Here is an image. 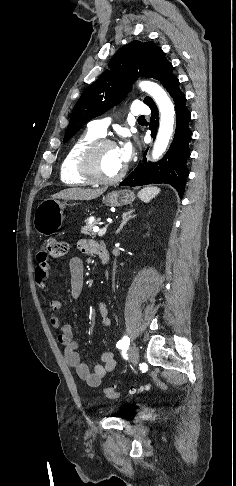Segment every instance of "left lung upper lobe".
<instances>
[{
	"mask_svg": "<svg viewBox=\"0 0 236 486\" xmlns=\"http://www.w3.org/2000/svg\"><path fill=\"white\" fill-rule=\"evenodd\" d=\"M108 67L109 70L84 90L74 106L64 143L89 120L121 102L138 77H152L163 86L175 77L172 74V64L153 42L132 41L115 53ZM152 101L150 97L144 99L147 105Z\"/></svg>",
	"mask_w": 236,
	"mask_h": 486,
	"instance_id": "obj_1",
	"label": "left lung upper lobe"
}]
</instances>
